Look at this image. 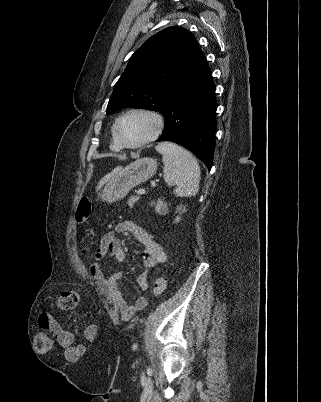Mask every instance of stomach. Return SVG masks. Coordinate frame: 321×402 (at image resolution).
Instances as JSON below:
<instances>
[{
	"label": "stomach",
	"instance_id": "obj_1",
	"mask_svg": "<svg viewBox=\"0 0 321 402\" xmlns=\"http://www.w3.org/2000/svg\"><path fill=\"white\" fill-rule=\"evenodd\" d=\"M157 170L156 159L144 157L121 168L106 180L101 190L102 201L112 203L124 198L135 186L151 178Z\"/></svg>",
	"mask_w": 321,
	"mask_h": 402
}]
</instances>
